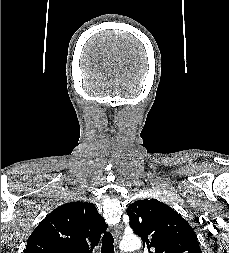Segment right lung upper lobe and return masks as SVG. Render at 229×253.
Returning a JSON list of instances; mask_svg holds the SVG:
<instances>
[{
    "label": "right lung upper lobe",
    "instance_id": "right-lung-upper-lobe-1",
    "mask_svg": "<svg viewBox=\"0 0 229 253\" xmlns=\"http://www.w3.org/2000/svg\"><path fill=\"white\" fill-rule=\"evenodd\" d=\"M106 229L94 204L66 203L39 223L24 253H91Z\"/></svg>",
    "mask_w": 229,
    "mask_h": 253
}]
</instances>
